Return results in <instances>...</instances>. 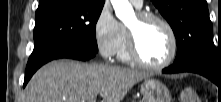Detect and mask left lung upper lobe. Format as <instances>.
<instances>
[{"label": "left lung upper lobe", "mask_w": 221, "mask_h": 102, "mask_svg": "<svg viewBox=\"0 0 221 102\" xmlns=\"http://www.w3.org/2000/svg\"><path fill=\"white\" fill-rule=\"evenodd\" d=\"M169 22L177 41L174 63L200 60L221 72V52L215 49L206 0H152Z\"/></svg>", "instance_id": "1"}]
</instances>
